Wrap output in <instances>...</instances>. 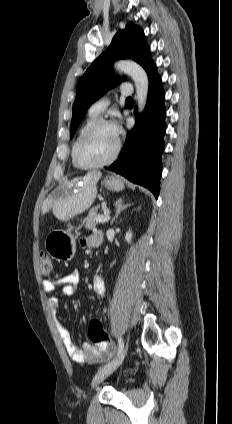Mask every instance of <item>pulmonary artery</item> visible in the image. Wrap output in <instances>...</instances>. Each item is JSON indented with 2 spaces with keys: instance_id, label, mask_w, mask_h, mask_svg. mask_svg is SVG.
Returning a JSON list of instances; mask_svg holds the SVG:
<instances>
[{
  "instance_id": "obj_1",
  "label": "pulmonary artery",
  "mask_w": 232,
  "mask_h": 424,
  "mask_svg": "<svg viewBox=\"0 0 232 424\" xmlns=\"http://www.w3.org/2000/svg\"><path fill=\"white\" fill-rule=\"evenodd\" d=\"M120 93L122 96H129L133 93L132 86L130 84H122L120 88ZM108 98H102L93 103L89 108V113L94 115H100L108 106Z\"/></svg>"
}]
</instances>
